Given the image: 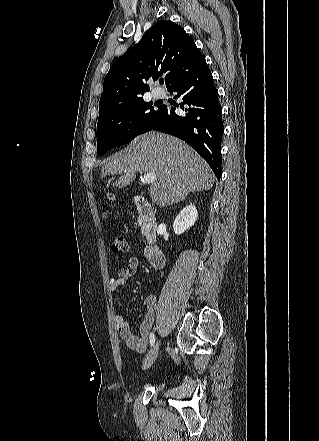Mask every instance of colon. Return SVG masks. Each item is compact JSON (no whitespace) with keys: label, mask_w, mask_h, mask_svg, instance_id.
<instances>
[{"label":"colon","mask_w":319,"mask_h":441,"mask_svg":"<svg viewBox=\"0 0 319 441\" xmlns=\"http://www.w3.org/2000/svg\"><path fill=\"white\" fill-rule=\"evenodd\" d=\"M111 250L116 254L124 253L127 250V243L121 234H115L113 236Z\"/></svg>","instance_id":"colon-1"}]
</instances>
